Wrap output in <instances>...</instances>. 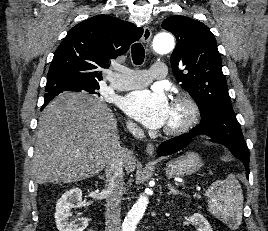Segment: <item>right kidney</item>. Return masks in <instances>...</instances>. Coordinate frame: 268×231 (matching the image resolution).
<instances>
[{
    "mask_svg": "<svg viewBox=\"0 0 268 231\" xmlns=\"http://www.w3.org/2000/svg\"><path fill=\"white\" fill-rule=\"evenodd\" d=\"M82 201V191L80 188H73L65 192L56 204L55 221L59 231H83L88 226V219L82 218L79 223L69 222L71 210L75 204Z\"/></svg>",
    "mask_w": 268,
    "mask_h": 231,
    "instance_id": "1",
    "label": "right kidney"
}]
</instances>
